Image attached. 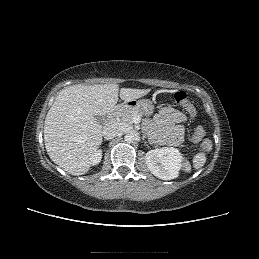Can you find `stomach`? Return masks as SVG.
Returning a JSON list of instances; mask_svg holds the SVG:
<instances>
[{
    "instance_id": "0dacf381",
    "label": "stomach",
    "mask_w": 259,
    "mask_h": 259,
    "mask_svg": "<svg viewBox=\"0 0 259 259\" xmlns=\"http://www.w3.org/2000/svg\"><path fill=\"white\" fill-rule=\"evenodd\" d=\"M124 108L137 109L145 115L152 114L154 110V106L149 99L131 100L125 102Z\"/></svg>"
}]
</instances>
